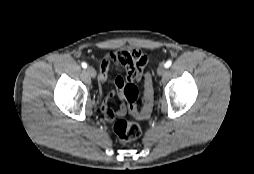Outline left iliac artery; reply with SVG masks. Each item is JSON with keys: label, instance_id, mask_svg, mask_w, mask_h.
<instances>
[{"label": "left iliac artery", "instance_id": "1", "mask_svg": "<svg viewBox=\"0 0 254 174\" xmlns=\"http://www.w3.org/2000/svg\"><path fill=\"white\" fill-rule=\"evenodd\" d=\"M171 64H172V61H171V60H168V61L166 62V64H165V67H166V68H169V67L171 66Z\"/></svg>", "mask_w": 254, "mask_h": 174}]
</instances>
